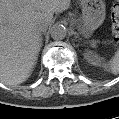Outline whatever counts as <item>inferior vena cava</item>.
<instances>
[{"instance_id": "obj_1", "label": "inferior vena cava", "mask_w": 119, "mask_h": 119, "mask_svg": "<svg viewBox=\"0 0 119 119\" xmlns=\"http://www.w3.org/2000/svg\"><path fill=\"white\" fill-rule=\"evenodd\" d=\"M46 29H47V26L41 24V25H38V26L36 27V32H37L38 34H41L42 32H45Z\"/></svg>"}]
</instances>
